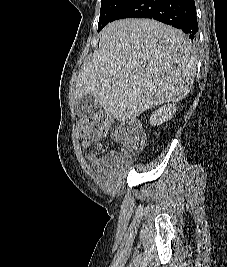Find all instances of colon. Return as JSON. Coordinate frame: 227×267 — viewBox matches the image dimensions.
Returning a JSON list of instances; mask_svg holds the SVG:
<instances>
[{
    "label": "colon",
    "mask_w": 227,
    "mask_h": 267,
    "mask_svg": "<svg viewBox=\"0 0 227 267\" xmlns=\"http://www.w3.org/2000/svg\"><path fill=\"white\" fill-rule=\"evenodd\" d=\"M111 125V115L98 112L91 116L82 117L78 129L83 138L98 141L106 136ZM118 137L132 152L140 151L145 144L144 131L133 122H125L118 130Z\"/></svg>",
    "instance_id": "5ec220e1"
}]
</instances>
